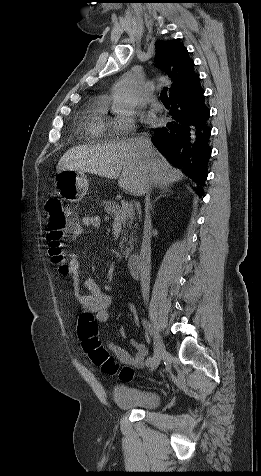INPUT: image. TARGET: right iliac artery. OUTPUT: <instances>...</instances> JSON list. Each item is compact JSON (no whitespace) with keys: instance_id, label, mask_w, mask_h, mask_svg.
Wrapping results in <instances>:
<instances>
[{"instance_id":"82829eb1","label":"right iliac artery","mask_w":261,"mask_h":476,"mask_svg":"<svg viewBox=\"0 0 261 476\" xmlns=\"http://www.w3.org/2000/svg\"><path fill=\"white\" fill-rule=\"evenodd\" d=\"M143 325L147 328L146 321H143ZM151 361H152L151 357L147 358L145 361L146 366H149L151 364Z\"/></svg>"}]
</instances>
